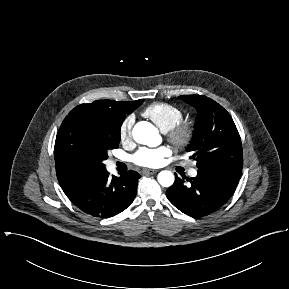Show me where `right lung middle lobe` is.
Segmentation results:
<instances>
[{
	"label": "right lung middle lobe",
	"instance_id": "1",
	"mask_svg": "<svg viewBox=\"0 0 289 289\" xmlns=\"http://www.w3.org/2000/svg\"><path fill=\"white\" fill-rule=\"evenodd\" d=\"M123 120L121 116L68 114L56 136V171L73 182H85L103 173L107 152L119 146Z\"/></svg>",
	"mask_w": 289,
	"mask_h": 289
}]
</instances>
